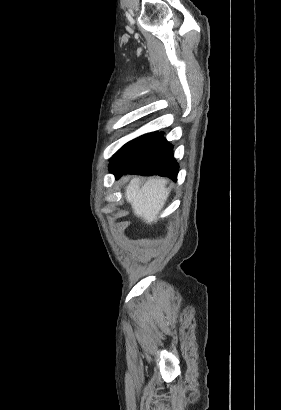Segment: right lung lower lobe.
Instances as JSON below:
<instances>
[{
  "label": "right lung lower lobe",
  "mask_w": 281,
  "mask_h": 410,
  "mask_svg": "<svg viewBox=\"0 0 281 410\" xmlns=\"http://www.w3.org/2000/svg\"><path fill=\"white\" fill-rule=\"evenodd\" d=\"M178 167L173 156V146L161 132L148 134L111 172L117 179L123 174H139L165 176L176 181Z\"/></svg>",
  "instance_id": "98d812e1"
}]
</instances>
